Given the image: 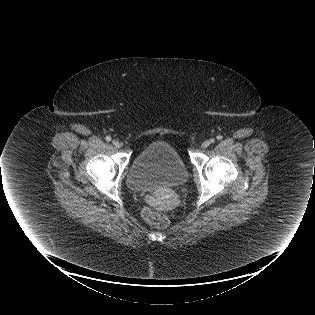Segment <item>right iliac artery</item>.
<instances>
[{
  "label": "right iliac artery",
  "mask_w": 315,
  "mask_h": 315,
  "mask_svg": "<svg viewBox=\"0 0 315 315\" xmlns=\"http://www.w3.org/2000/svg\"><path fill=\"white\" fill-rule=\"evenodd\" d=\"M106 141L110 142L111 141V137L110 136H106Z\"/></svg>",
  "instance_id": "right-iliac-artery-1"
}]
</instances>
